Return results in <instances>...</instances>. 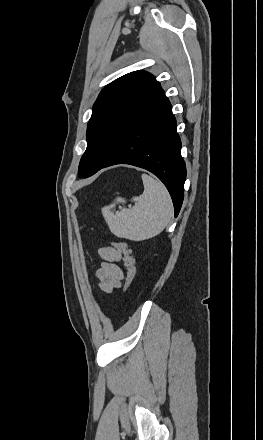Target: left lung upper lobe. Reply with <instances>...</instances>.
Instances as JSON below:
<instances>
[{"label":"left lung upper lobe","mask_w":263,"mask_h":440,"mask_svg":"<svg viewBox=\"0 0 263 440\" xmlns=\"http://www.w3.org/2000/svg\"><path fill=\"white\" fill-rule=\"evenodd\" d=\"M161 89L145 71L128 73L99 94L87 127V149L79 164V177L102 168L115 153L139 110Z\"/></svg>","instance_id":"5c2ea615"}]
</instances>
